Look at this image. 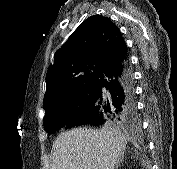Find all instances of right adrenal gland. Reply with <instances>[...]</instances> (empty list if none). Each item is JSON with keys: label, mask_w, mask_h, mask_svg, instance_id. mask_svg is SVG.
<instances>
[{"label": "right adrenal gland", "mask_w": 177, "mask_h": 169, "mask_svg": "<svg viewBox=\"0 0 177 169\" xmlns=\"http://www.w3.org/2000/svg\"><path fill=\"white\" fill-rule=\"evenodd\" d=\"M122 157H124V153L122 154ZM122 162H123V160H121V161L116 165V169H118V168L121 166Z\"/></svg>", "instance_id": "obj_1"}]
</instances>
